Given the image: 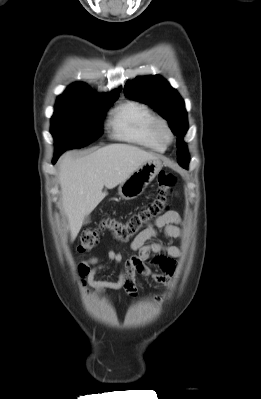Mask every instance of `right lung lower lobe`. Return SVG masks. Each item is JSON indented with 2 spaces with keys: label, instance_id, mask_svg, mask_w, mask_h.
I'll use <instances>...</instances> for the list:
<instances>
[{
  "label": "right lung lower lobe",
  "instance_id": "obj_1",
  "mask_svg": "<svg viewBox=\"0 0 261 399\" xmlns=\"http://www.w3.org/2000/svg\"><path fill=\"white\" fill-rule=\"evenodd\" d=\"M62 153H63L62 151H55L54 158H53V160H52V163H53V164L56 163L57 159L59 158V156H60Z\"/></svg>",
  "mask_w": 261,
  "mask_h": 399
}]
</instances>
